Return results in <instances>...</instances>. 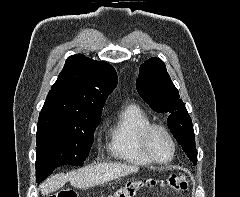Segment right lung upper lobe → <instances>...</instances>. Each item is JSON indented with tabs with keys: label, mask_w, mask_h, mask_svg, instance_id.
Wrapping results in <instances>:
<instances>
[{
	"label": "right lung upper lobe",
	"mask_w": 240,
	"mask_h": 197,
	"mask_svg": "<svg viewBox=\"0 0 240 197\" xmlns=\"http://www.w3.org/2000/svg\"><path fill=\"white\" fill-rule=\"evenodd\" d=\"M116 85L117 73L110 64L72 55L51 87L40 117L100 118L105 100Z\"/></svg>",
	"instance_id": "1"
}]
</instances>
